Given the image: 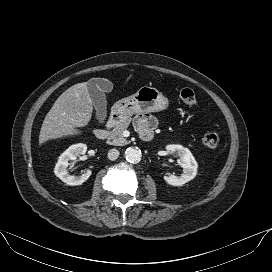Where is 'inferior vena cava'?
I'll use <instances>...</instances> for the list:
<instances>
[{"label": "inferior vena cava", "instance_id": "obj_1", "mask_svg": "<svg viewBox=\"0 0 272 272\" xmlns=\"http://www.w3.org/2000/svg\"><path fill=\"white\" fill-rule=\"evenodd\" d=\"M119 157V151L117 149H110L108 152V158L112 161L116 160Z\"/></svg>", "mask_w": 272, "mask_h": 272}]
</instances>
